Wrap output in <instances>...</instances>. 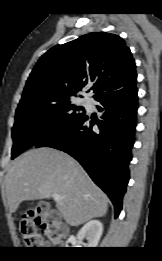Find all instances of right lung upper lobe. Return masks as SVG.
Masks as SVG:
<instances>
[{
    "label": "right lung upper lobe",
    "mask_w": 162,
    "mask_h": 261,
    "mask_svg": "<svg viewBox=\"0 0 162 261\" xmlns=\"http://www.w3.org/2000/svg\"><path fill=\"white\" fill-rule=\"evenodd\" d=\"M136 79L135 62L120 36L89 33L42 55L27 80L21 101L36 96L75 95L91 82H95L92 89L97 98L131 87Z\"/></svg>",
    "instance_id": "1"
}]
</instances>
